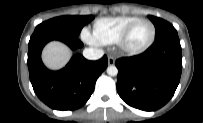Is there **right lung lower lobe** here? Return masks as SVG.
Returning a JSON list of instances; mask_svg holds the SVG:
<instances>
[{"mask_svg": "<svg viewBox=\"0 0 203 123\" xmlns=\"http://www.w3.org/2000/svg\"><path fill=\"white\" fill-rule=\"evenodd\" d=\"M51 40L62 41L72 50L83 46L78 38L34 31L28 48L31 84L39 99L52 109H77L83 106L93 93L97 78L108 65L107 57L103 56L98 61H88L77 54L65 68L50 71L42 63L41 52L45 44Z\"/></svg>", "mask_w": 203, "mask_h": 123, "instance_id": "98d812e1", "label": "right lung lower lobe"}]
</instances>
